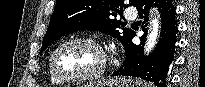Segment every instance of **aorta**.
Instances as JSON below:
<instances>
[{
  "label": "aorta",
  "instance_id": "aorta-1",
  "mask_svg": "<svg viewBox=\"0 0 205 87\" xmlns=\"http://www.w3.org/2000/svg\"><path fill=\"white\" fill-rule=\"evenodd\" d=\"M159 34H160V21H159V17L155 16L152 19L151 29L147 35V40H146V44H145V53L146 54H149L156 46V44L158 42Z\"/></svg>",
  "mask_w": 205,
  "mask_h": 87
}]
</instances>
